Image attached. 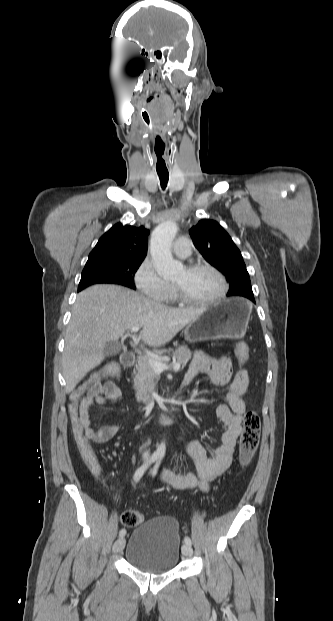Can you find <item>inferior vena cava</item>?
<instances>
[{
    "label": "inferior vena cava",
    "mask_w": 333,
    "mask_h": 621,
    "mask_svg": "<svg viewBox=\"0 0 333 621\" xmlns=\"http://www.w3.org/2000/svg\"><path fill=\"white\" fill-rule=\"evenodd\" d=\"M142 457H143V460H144V461H147V460L149 459V457H150V453H149V451H145V452L143 453V456H142Z\"/></svg>",
    "instance_id": "602c4592"
}]
</instances>
